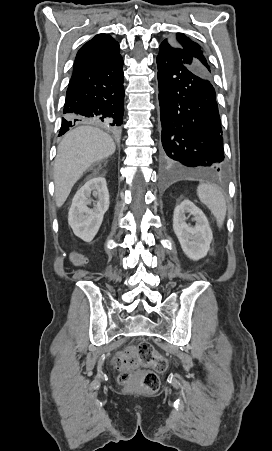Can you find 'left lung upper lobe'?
<instances>
[{
  "label": "left lung upper lobe",
  "instance_id": "1",
  "mask_svg": "<svg viewBox=\"0 0 272 451\" xmlns=\"http://www.w3.org/2000/svg\"><path fill=\"white\" fill-rule=\"evenodd\" d=\"M168 39H170L176 46L182 47L190 52V54H192L198 61L201 68L210 75V66L208 65L207 60L203 55V51L197 43L191 41L182 33H178L176 37H171Z\"/></svg>",
  "mask_w": 272,
  "mask_h": 451
}]
</instances>
